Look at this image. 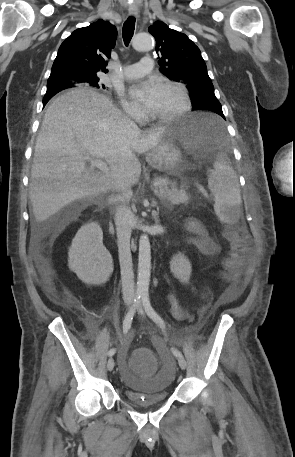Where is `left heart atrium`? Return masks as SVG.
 <instances>
[{"mask_svg":"<svg viewBox=\"0 0 295 457\" xmlns=\"http://www.w3.org/2000/svg\"><path fill=\"white\" fill-rule=\"evenodd\" d=\"M160 90V84L149 80L133 85L130 88V96L135 102L151 110L158 101Z\"/></svg>","mask_w":295,"mask_h":457,"instance_id":"39dd6f15","label":"left heart atrium"}]
</instances>
